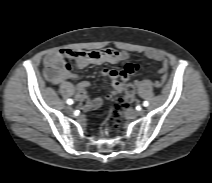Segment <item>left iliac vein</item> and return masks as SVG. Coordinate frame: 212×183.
I'll use <instances>...</instances> for the list:
<instances>
[{"label":"left iliac vein","mask_w":212,"mask_h":183,"mask_svg":"<svg viewBox=\"0 0 212 183\" xmlns=\"http://www.w3.org/2000/svg\"><path fill=\"white\" fill-rule=\"evenodd\" d=\"M139 115H143L144 114V110H140L137 112ZM131 114H134L133 112H131Z\"/></svg>","instance_id":"obj_1"}]
</instances>
